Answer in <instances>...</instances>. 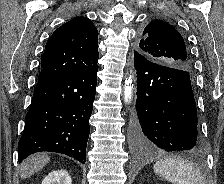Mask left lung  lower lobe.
Wrapping results in <instances>:
<instances>
[{"label": "left lung lower lobe", "mask_w": 224, "mask_h": 184, "mask_svg": "<svg viewBox=\"0 0 224 184\" xmlns=\"http://www.w3.org/2000/svg\"><path fill=\"white\" fill-rule=\"evenodd\" d=\"M138 119L134 142L143 153L156 150L197 154L203 143L188 71L159 65L134 54Z\"/></svg>", "instance_id": "obj_1"}]
</instances>
